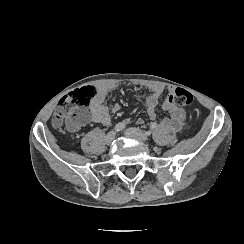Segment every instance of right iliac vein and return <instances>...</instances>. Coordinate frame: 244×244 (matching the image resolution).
<instances>
[{
  "instance_id": "right-iliac-vein-1",
  "label": "right iliac vein",
  "mask_w": 244,
  "mask_h": 244,
  "mask_svg": "<svg viewBox=\"0 0 244 244\" xmlns=\"http://www.w3.org/2000/svg\"><path fill=\"white\" fill-rule=\"evenodd\" d=\"M115 132L111 131L107 134V136L105 137V143L107 145H111V143L113 142V140L115 139Z\"/></svg>"
}]
</instances>
